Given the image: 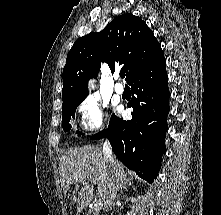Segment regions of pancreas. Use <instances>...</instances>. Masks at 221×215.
<instances>
[{"instance_id":"pancreas-1","label":"pancreas","mask_w":221,"mask_h":215,"mask_svg":"<svg viewBox=\"0 0 221 215\" xmlns=\"http://www.w3.org/2000/svg\"><path fill=\"white\" fill-rule=\"evenodd\" d=\"M93 215H99L98 210H93Z\"/></svg>"}]
</instances>
